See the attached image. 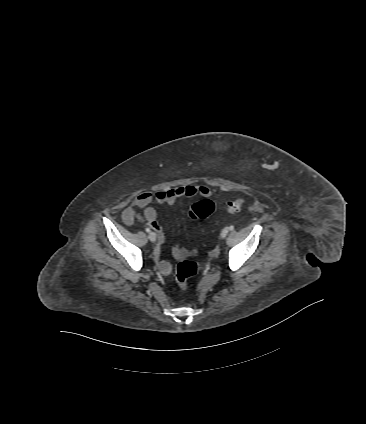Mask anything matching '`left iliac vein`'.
<instances>
[{
  "label": "left iliac vein",
  "mask_w": 366,
  "mask_h": 424,
  "mask_svg": "<svg viewBox=\"0 0 366 424\" xmlns=\"http://www.w3.org/2000/svg\"><path fill=\"white\" fill-rule=\"evenodd\" d=\"M227 234H228V228H224L221 232V237L225 238L227 236Z\"/></svg>",
  "instance_id": "4c4485c4"
}]
</instances>
